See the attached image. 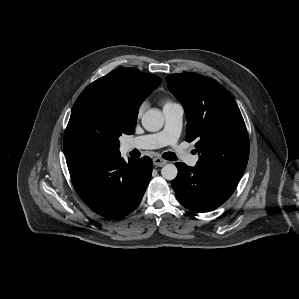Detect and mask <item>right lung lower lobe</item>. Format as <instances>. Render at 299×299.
Listing matches in <instances>:
<instances>
[{"label": "right lung lower lobe", "mask_w": 299, "mask_h": 299, "mask_svg": "<svg viewBox=\"0 0 299 299\" xmlns=\"http://www.w3.org/2000/svg\"><path fill=\"white\" fill-rule=\"evenodd\" d=\"M67 166L82 201L111 219L131 213L140 204L153 169L149 157L126 162L120 152L92 162L67 161Z\"/></svg>", "instance_id": "right-lung-lower-lobe-1"}]
</instances>
